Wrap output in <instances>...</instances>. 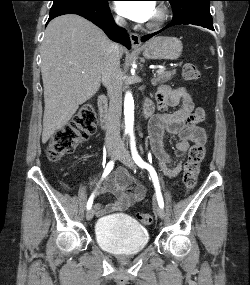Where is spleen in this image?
<instances>
[{"label": "spleen", "instance_id": "3e777b00", "mask_svg": "<svg viewBox=\"0 0 250 285\" xmlns=\"http://www.w3.org/2000/svg\"><path fill=\"white\" fill-rule=\"evenodd\" d=\"M211 51H212V53H214V49L211 47Z\"/></svg>", "mask_w": 250, "mask_h": 285}]
</instances>
